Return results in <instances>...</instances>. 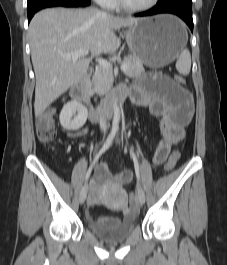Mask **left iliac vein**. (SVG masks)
<instances>
[{"label":"left iliac vein","mask_w":227,"mask_h":265,"mask_svg":"<svg viewBox=\"0 0 227 265\" xmlns=\"http://www.w3.org/2000/svg\"><path fill=\"white\" fill-rule=\"evenodd\" d=\"M137 194H138L139 203L141 205L144 204L146 197H145V192H144V190L141 187H138Z\"/></svg>","instance_id":"obj_1"}]
</instances>
